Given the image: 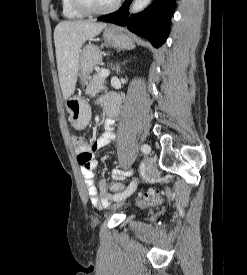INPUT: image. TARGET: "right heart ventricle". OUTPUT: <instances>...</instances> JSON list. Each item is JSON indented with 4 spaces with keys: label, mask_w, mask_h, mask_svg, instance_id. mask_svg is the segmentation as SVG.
<instances>
[{
    "label": "right heart ventricle",
    "mask_w": 247,
    "mask_h": 275,
    "mask_svg": "<svg viewBox=\"0 0 247 275\" xmlns=\"http://www.w3.org/2000/svg\"><path fill=\"white\" fill-rule=\"evenodd\" d=\"M62 14L69 19L82 18L83 14L75 10L70 3V0H61Z\"/></svg>",
    "instance_id": "1"
}]
</instances>
